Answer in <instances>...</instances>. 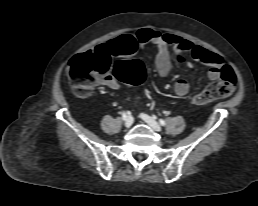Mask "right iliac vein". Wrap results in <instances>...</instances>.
<instances>
[{
  "label": "right iliac vein",
  "mask_w": 258,
  "mask_h": 206,
  "mask_svg": "<svg viewBox=\"0 0 258 206\" xmlns=\"http://www.w3.org/2000/svg\"><path fill=\"white\" fill-rule=\"evenodd\" d=\"M133 124V117L127 116L126 120L124 121L125 127H130Z\"/></svg>",
  "instance_id": "right-iliac-vein-1"
}]
</instances>
